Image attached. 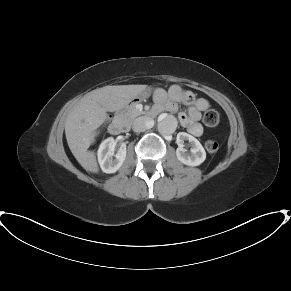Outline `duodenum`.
Returning <instances> with one entry per match:
<instances>
[{"mask_svg": "<svg viewBox=\"0 0 291 291\" xmlns=\"http://www.w3.org/2000/svg\"><path fill=\"white\" fill-rule=\"evenodd\" d=\"M117 111L114 113V117L117 115ZM108 130L110 131L111 134L113 135H119L122 134L126 131V128L123 124V122L119 119H114L109 125H108Z\"/></svg>", "mask_w": 291, "mask_h": 291, "instance_id": "1", "label": "duodenum"}]
</instances>
